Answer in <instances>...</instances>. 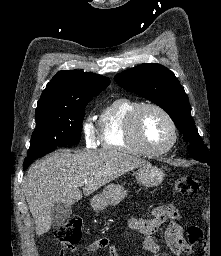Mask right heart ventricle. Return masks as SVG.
<instances>
[{"label":"right heart ventricle","instance_id":"obj_1","mask_svg":"<svg viewBox=\"0 0 221 256\" xmlns=\"http://www.w3.org/2000/svg\"><path fill=\"white\" fill-rule=\"evenodd\" d=\"M141 103L129 97H118L109 102L100 115V144L103 149L131 154H142L126 134L131 113Z\"/></svg>","mask_w":221,"mask_h":256}]
</instances>
